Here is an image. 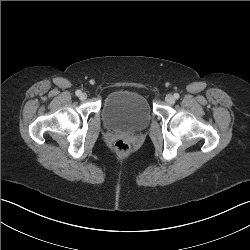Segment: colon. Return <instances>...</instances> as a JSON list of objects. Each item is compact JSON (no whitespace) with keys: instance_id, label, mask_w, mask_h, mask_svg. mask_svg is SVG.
Masks as SVG:
<instances>
[{"instance_id":"obj_1","label":"colon","mask_w":250,"mask_h":250,"mask_svg":"<svg viewBox=\"0 0 250 250\" xmlns=\"http://www.w3.org/2000/svg\"><path fill=\"white\" fill-rule=\"evenodd\" d=\"M113 150L119 155H126L130 151V144L125 139H117L112 144Z\"/></svg>"}]
</instances>
